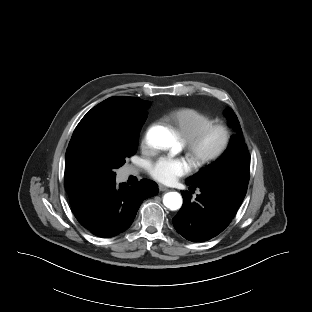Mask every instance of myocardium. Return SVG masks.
<instances>
[{"instance_id": "obj_1", "label": "myocardium", "mask_w": 312, "mask_h": 312, "mask_svg": "<svg viewBox=\"0 0 312 312\" xmlns=\"http://www.w3.org/2000/svg\"><path fill=\"white\" fill-rule=\"evenodd\" d=\"M214 133L220 134L218 146L210 151L203 152L202 148L206 140ZM232 139L229 126L223 122L211 123L187 140L185 147L197 167L209 165L221 158L228 150Z\"/></svg>"}]
</instances>
